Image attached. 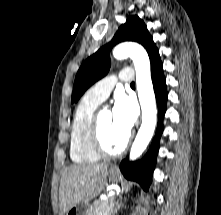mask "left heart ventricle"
<instances>
[{"mask_svg":"<svg viewBox=\"0 0 221 215\" xmlns=\"http://www.w3.org/2000/svg\"><path fill=\"white\" fill-rule=\"evenodd\" d=\"M101 134L106 147L110 150L120 148L125 142L126 138L115 127L113 121V113L110 110H103L101 113Z\"/></svg>","mask_w":221,"mask_h":215,"instance_id":"b2bd125f","label":"left heart ventricle"}]
</instances>
